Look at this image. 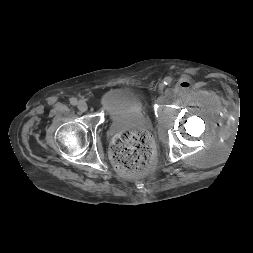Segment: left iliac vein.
Instances as JSON below:
<instances>
[{
	"label": "left iliac vein",
	"mask_w": 253,
	"mask_h": 253,
	"mask_svg": "<svg viewBox=\"0 0 253 253\" xmlns=\"http://www.w3.org/2000/svg\"><path fill=\"white\" fill-rule=\"evenodd\" d=\"M163 88H164V84L161 83V84H160V89L162 90Z\"/></svg>",
	"instance_id": "1"
}]
</instances>
